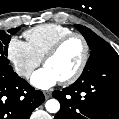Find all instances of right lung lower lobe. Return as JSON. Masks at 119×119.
I'll return each mask as SVG.
<instances>
[{
  "label": "right lung lower lobe",
  "mask_w": 119,
  "mask_h": 119,
  "mask_svg": "<svg viewBox=\"0 0 119 119\" xmlns=\"http://www.w3.org/2000/svg\"><path fill=\"white\" fill-rule=\"evenodd\" d=\"M45 100L15 72L0 73V119H29L32 111Z\"/></svg>",
  "instance_id": "obj_1"
}]
</instances>
